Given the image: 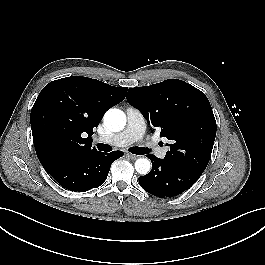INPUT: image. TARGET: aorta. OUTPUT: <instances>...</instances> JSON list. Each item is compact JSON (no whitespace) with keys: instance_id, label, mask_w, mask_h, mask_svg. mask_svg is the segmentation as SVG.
Segmentation results:
<instances>
[{"instance_id":"aorta-1","label":"aorta","mask_w":265,"mask_h":265,"mask_svg":"<svg viewBox=\"0 0 265 265\" xmlns=\"http://www.w3.org/2000/svg\"><path fill=\"white\" fill-rule=\"evenodd\" d=\"M104 125L113 132H119L126 125V115L120 109H109L104 115ZM151 164L147 158H139L135 162V169L139 174L145 175L150 171Z\"/></svg>"}]
</instances>
